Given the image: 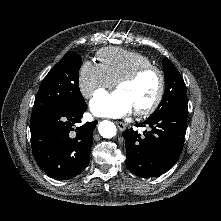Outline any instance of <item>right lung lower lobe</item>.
Segmentation results:
<instances>
[{"label":"right lung lower lobe","instance_id":"98d812e1","mask_svg":"<svg viewBox=\"0 0 221 221\" xmlns=\"http://www.w3.org/2000/svg\"><path fill=\"white\" fill-rule=\"evenodd\" d=\"M86 109L84 103L79 108L56 110L30 127L33 156L47 175L66 180L87 167L97 121L74 129Z\"/></svg>","mask_w":221,"mask_h":221}]
</instances>
